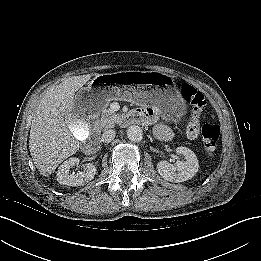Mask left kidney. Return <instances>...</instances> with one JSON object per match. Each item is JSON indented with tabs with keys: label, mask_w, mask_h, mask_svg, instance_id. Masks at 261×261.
<instances>
[{
	"label": "left kidney",
	"mask_w": 261,
	"mask_h": 261,
	"mask_svg": "<svg viewBox=\"0 0 261 261\" xmlns=\"http://www.w3.org/2000/svg\"><path fill=\"white\" fill-rule=\"evenodd\" d=\"M176 152L182 154L185 157V161H177L175 164H171L167 161H160L157 164V171L159 175L170 182H184L198 172L199 163L195 153L187 147H177Z\"/></svg>",
	"instance_id": "left-kidney-1"
}]
</instances>
